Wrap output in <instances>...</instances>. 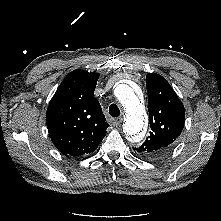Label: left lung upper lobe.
Returning <instances> with one entry per match:
<instances>
[{"instance_id":"5c2ea615","label":"left lung upper lobe","mask_w":221,"mask_h":221,"mask_svg":"<svg viewBox=\"0 0 221 221\" xmlns=\"http://www.w3.org/2000/svg\"><path fill=\"white\" fill-rule=\"evenodd\" d=\"M148 111L151 132L136 153L144 158L157 159L165 155L182 132L185 110L167 80L157 73L146 76Z\"/></svg>"}]
</instances>
